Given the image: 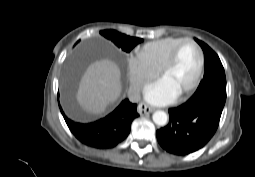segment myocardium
Wrapping results in <instances>:
<instances>
[{
    "label": "myocardium",
    "instance_id": "f54148a6",
    "mask_svg": "<svg viewBox=\"0 0 255 177\" xmlns=\"http://www.w3.org/2000/svg\"><path fill=\"white\" fill-rule=\"evenodd\" d=\"M185 44H192L196 47L199 53V68L196 74V77L194 81L182 92L178 93L179 97H185L189 94H191L200 84L203 73H204V67H205V57L202 48L200 45L192 40V39H184L182 42H180L171 52L169 58L167 61L164 63V65L160 69V76L163 77L176 63L178 53L180 49L185 45Z\"/></svg>",
    "mask_w": 255,
    "mask_h": 177
}]
</instances>
